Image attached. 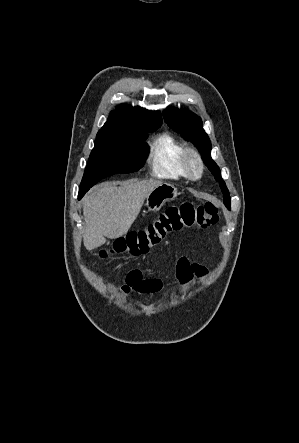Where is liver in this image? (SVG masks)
<instances>
[{
	"label": "liver",
	"instance_id": "liver-1",
	"mask_svg": "<svg viewBox=\"0 0 299 443\" xmlns=\"http://www.w3.org/2000/svg\"><path fill=\"white\" fill-rule=\"evenodd\" d=\"M103 182L93 187L83 198L86 249L102 246L106 238L124 236L136 220L149 193L159 180Z\"/></svg>",
	"mask_w": 299,
	"mask_h": 443
}]
</instances>
